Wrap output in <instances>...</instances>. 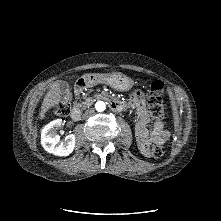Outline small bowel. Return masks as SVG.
<instances>
[{
    "label": "small bowel",
    "mask_w": 221,
    "mask_h": 221,
    "mask_svg": "<svg viewBox=\"0 0 221 221\" xmlns=\"http://www.w3.org/2000/svg\"><path fill=\"white\" fill-rule=\"evenodd\" d=\"M131 106L136 110L137 123L135 134L141 152L148 156L152 143H163L168 138V132L161 121L150 122L145 105L144 93L141 89L135 88L132 92Z\"/></svg>",
    "instance_id": "1"
}]
</instances>
